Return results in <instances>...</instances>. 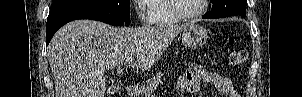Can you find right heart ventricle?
Listing matches in <instances>:
<instances>
[{"instance_id":"obj_1","label":"right heart ventricle","mask_w":302,"mask_h":97,"mask_svg":"<svg viewBox=\"0 0 302 97\" xmlns=\"http://www.w3.org/2000/svg\"><path fill=\"white\" fill-rule=\"evenodd\" d=\"M168 1L152 0L149 3V13L153 18L152 23L158 27L171 26L178 22L169 11Z\"/></svg>"}]
</instances>
